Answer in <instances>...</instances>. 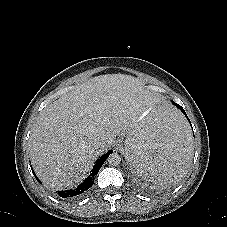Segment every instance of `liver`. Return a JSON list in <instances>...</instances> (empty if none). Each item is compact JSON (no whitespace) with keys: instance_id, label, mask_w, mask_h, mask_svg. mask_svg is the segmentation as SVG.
Here are the masks:
<instances>
[{"instance_id":"6515ba94","label":"liver","mask_w":227,"mask_h":227,"mask_svg":"<svg viewBox=\"0 0 227 227\" xmlns=\"http://www.w3.org/2000/svg\"><path fill=\"white\" fill-rule=\"evenodd\" d=\"M152 105L141 81L124 74L97 76L63 94L33 126L29 150L35 173L51 190L76 186L116 135L131 131ZM95 141L105 144L95 149Z\"/></svg>"}]
</instances>
